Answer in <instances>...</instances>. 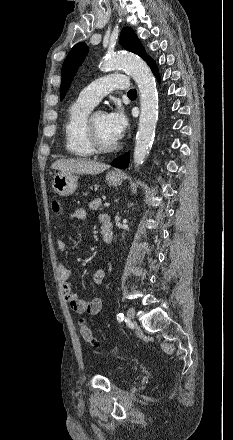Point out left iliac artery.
<instances>
[{"label": "left iliac artery", "instance_id": "1", "mask_svg": "<svg viewBox=\"0 0 233 440\" xmlns=\"http://www.w3.org/2000/svg\"><path fill=\"white\" fill-rule=\"evenodd\" d=\"M117 320H118V321H123V320H124V315H123L122 313H119V314L117 315Z\"/></svg>", "mask_w": 233, "mask_h": 440}]
</instances>
